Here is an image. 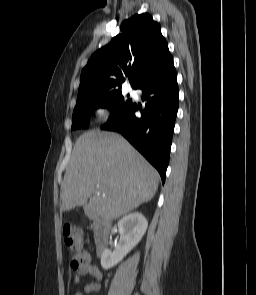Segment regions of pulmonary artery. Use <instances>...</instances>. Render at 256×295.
<instances>
[{
  "mask_svg": "<svg viewBox=\"0 0 256 295\" xmlns=\"http://www.w3.org/2000/svg\"><path fill=\"white\" fill-rule=\"evenodd\" d=\"M129 93H130V94H133V91L130 89V90H129Z\"/></svg>",
  "mask_w": 256,
  "mask_h": 295,
  "instance_id": "obj_1",
  "label": "pulmonary artery"
}]
</instances>
